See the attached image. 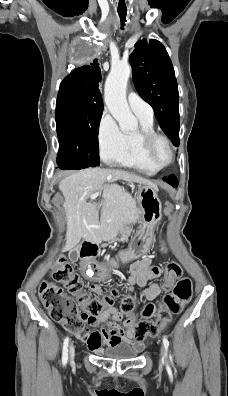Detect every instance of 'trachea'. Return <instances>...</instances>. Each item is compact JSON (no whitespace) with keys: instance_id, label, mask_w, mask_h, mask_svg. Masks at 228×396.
<instances>
[{"instance_id":"trachea-1","label":"trachea","mask_w":228,"mask_h":396,"mask_svg":"<svg viewBox=\"0 0 228 396\" xmlns=\"http://www.w3.org/2000/svg\"><path fill=\"white\" fill-rule=\"evenodd\" d=\"M118 15L121 20V29H124L123 26L125 25V22H126L127 11H118Z\"/></svg>"}]
</instances>
